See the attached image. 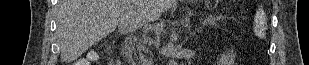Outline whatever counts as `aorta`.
I'll return each instance as SVG.
<instances>
[{
    "label": "aorta",
    "mask_w": 309,
    "mask_h": 65,
    "mask_svg": "<svg viewBox=\"0 0 309 65\" xmlns=\"http://www.w3.org/2000/svg\"><path fill=\"white\" fill-rule=\"evenodd\" d=\"M169 65H177V61H175V60H170Z\"/></svg>",
    "instance_id": "obj_1"
}]
</instances>
